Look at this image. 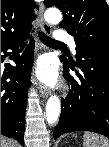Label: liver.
Masks as SVG:
<instances>
[{"mask_svg":"<svg viewBox=\"0 0 109 147\" xmlns=\"http://www.w3.org/2000/svg\"><path fill=\"white\" fill-rule=\"evenodd\" d=\"M1 146L2 147H19L18 143L10 138L2 137L1 139Z\"/></svg>","mask_w":109,"mask_h":147,"instance_id":"6515ba94","label":"liver"}]
</instances>
